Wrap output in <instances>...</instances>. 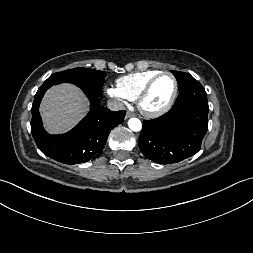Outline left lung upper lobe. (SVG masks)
<instances>
[{"label": "left lung upper lobe", "instance_id": "left-lung-upper-lobe-1", "mask_svg": "<svg viewBox=\"0 0 253 253\" xmlns=\"http://www.w3.org/2000/svg\"><path fill=\"white\" fill-rule=\"evenodd\" d=\"M178 82L179 91L189 88L192 83L197 81L190 74L185 72L172 71Z\"/></svg>", "mask_w": 253, "mask_h": 253}]
</instances>
